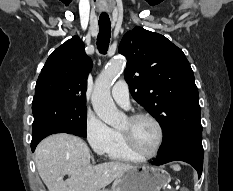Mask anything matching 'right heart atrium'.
I'll list each match as a JSON object with an SVG mask.
<instances>
[{"label": "right heart atrium", "mask_w": 233, "mask_h": 191, "mask_svg": "<svg viewBox=\"0 0 233 191\" xmlns=\"http://www.w3.org/2000/svg\"><path fill=\"white\" fill-rule=\"evenodd\" d=\"M86 139L97 155H107L111 149L115 134L98 116L88 113L85 120Z\"/></svg>", "instance_id": "obj_1"}]
</instances>
